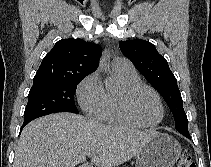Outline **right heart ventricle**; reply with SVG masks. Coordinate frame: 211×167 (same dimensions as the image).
Wrapping results in <instances>:
<instances>
[{
  "mask_svg": "<svg viewBox=\"0 0 211 167\" xmlns=\"http://www.w3.org/2000/svg\"><path fill=\"white\" fill-rule=\"evenodd\" d=\"M114 73L121 83V88L128 85L141 83L140 77L134 70L122 71L115 69ZM119 91H105L103 108L96 117L101 121L113 126L123 128H137L138 126L129 121L119 109L117 100Z\"/></svg>",
  "mask_w": 211,
  "mask_h": 167,
  "instance_id": "obj_1",
  "label": "right heart ventricle"
}]
</instances>
